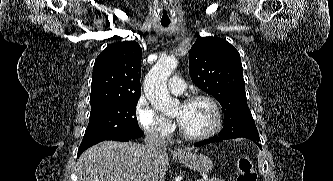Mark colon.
<instances>
[{
  "mask_svg": "<svg viewBox=\"0 0 333 181\" xmlns=\"http://www.w3.org/2000/svg\"><path fill=\"white\" fill-rule=\"evenodd\" d=\"M237 181H256L257 175L255 173L253 163L247 156H240L236 160Z\"/></svg>",
  "mask_w": 333,
  "mask_h": 181,
  "instance_id": "colon-1",
  "label": "colon"
}]
</instances>
